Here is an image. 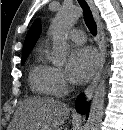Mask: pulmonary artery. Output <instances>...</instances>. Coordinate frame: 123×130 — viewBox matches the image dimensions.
Listing matches in <instances>:
<instances>
[{
	"instance_id": "obj_1",
	"label": "pulmonary artery",
	"mask_w": 123,
	"mask_h": 130,
	"mask_svg": "<svg viewBox=\"0 0 123 130\" xmlns=\"http://www.w3.org/2000/svg\"><path fill=\"white\" fill-rule=\"evenodd\" d=\"M68 40L76 43V44H83L86 40L85 34L83 31L78 29H73L68 33L67 36Z\"/></svg>"
}]
</instances>
